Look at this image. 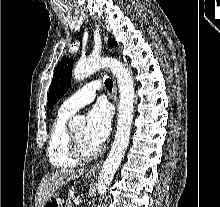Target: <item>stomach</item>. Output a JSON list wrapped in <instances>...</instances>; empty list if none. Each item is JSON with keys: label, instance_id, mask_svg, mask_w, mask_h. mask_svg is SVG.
<instances>
[{"label": "stomach", "instance_id": "0dacf381", "mask_svg": "<svg viewBox=\"0 0 220 207\" xmlns=\"http://www.w3.org/2000/svg\"><path fill=\"white\" fill-rule=\"evenodd\" d=\"M91 176H86V179H90ZM43 207H63L62 201L57 196H52L44 205Z\"/></svg>", "mask_w": 220, "mask_h": 207}]
</instances>
